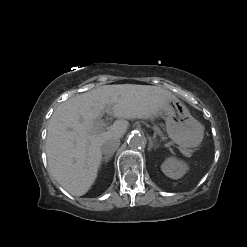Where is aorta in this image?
Returning <instances> with one entry per match:
<instances>
[{"label":"aorta","mask_w":247,"mask_h":247,"mask_svg":"<svg viewBox=\"0 0 247 247\" xmlns=\"http://www.w3.org/2000/svg\"><path fill=\"white\" fill-rule=\"evenodd\" d=\"M145 139L140 133H133L128 138V146L133 149H140L144 146Z\"/></svg>","instance_id":"1"}]
</instances>
